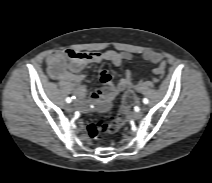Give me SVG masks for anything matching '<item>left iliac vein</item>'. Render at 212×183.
I'll return each instance as SVG.
<instances>
[{"mask_svg": "<svg viewBox=\"0 0 212 183\" xmlns=\"http://www.w3.org/2000/svg\"><path fill=\"white\" fill-rule=\"evenodd\" d=\"M145 110H146V106H143V107L141 108V111L144 112Z\"/></svg>", "mask_w": 212, "mask_h": 183, "instance_id": "4c4485c4", "label": "left iliac vein"}]
</instances>
